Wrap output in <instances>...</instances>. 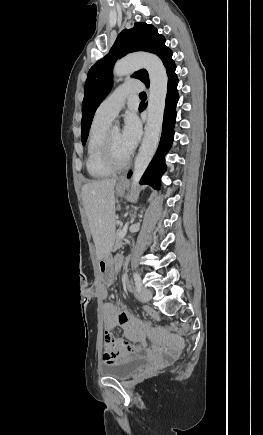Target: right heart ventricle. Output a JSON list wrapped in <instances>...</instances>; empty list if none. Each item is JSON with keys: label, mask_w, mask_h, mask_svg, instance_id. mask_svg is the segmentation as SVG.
<instances>
[{"label": "right heart ventricle", "mask_w": 263, "mask_h": 435, "mask_svg": "<svg viewBox=\"0 0 263 435\" xmlns=\"http://www.w3.org/2000/svg\"><path fill=\"white\" fill-rule=\"evenodd\" d=\"M109 125L110 121L95 116L90 126L85 166L88 175L94 179L109 177L114 172L103 163L101 158L102 141Z\"/></svg>", "instance_id": "obj_1"}]
</instances>
